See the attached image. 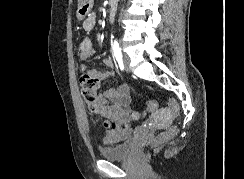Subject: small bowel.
Masks as SVG:
<instances>
[{
    "mask_svg": "<svg viewBox=\"0 0 244 179\" xmlns=\"http://www.w3.org/2000/svg\"><path fill=\"white\" fill-rule=\"evenodd\" d=\"M90 14V18H81L83 28L87 31L93 29L96 23L95 14L92 11ZM94 54L95 50L91 39L87 35L82 34L78 43L79 58L84 61L93 57ZM104 65L106 68L111 69L114 62L110 57H106ZM80 70L87 71L88 74L97 77L99 80H106L112 76V73L108 70L88 69L85 64L80 65ZM128 92L129 86L123 85L119 89L108 88L98 95L96 111L110 121V129L105 134V141L107 143H118L124 140L130 133L132 121L129 114Z\"/></svg>",
    "mask_w": 244,
    "mask_h": 179,
    "instance_id": "small-bowel-1",
    "label": "small bowel"
}]
</instances>
